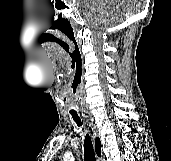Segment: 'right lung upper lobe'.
Segmentation results:
<instances>
[{
    "instance_id": "cb5924a9",
    "label": "right lung upper lobe",
    "mask_w": 171,
    "mask_h": 161,
    "mask_svg": "<svg viewBox=\"0 0 171 161\" xmlns=\"http://www.w3.org/2000/svg\"><path fill=\"white\" fill-rule=\"evenodd\" d=\"M95 150L97 151V154L100 155V151H101V142L99 140V138L96 139L95 141Z\"/></svg>"
}]
</instances>
